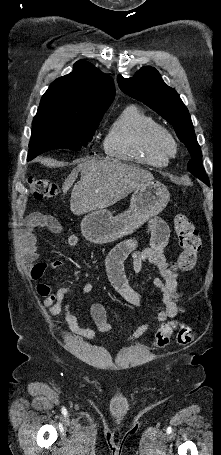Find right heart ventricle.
Masks as SVG:
<instances>
[{
  "label": "right heart ventricle",
  "instance_id": "e07e8e85",
  "mask_svg": "<svg viewBox=\"0 0 221 455\" xmlns=\"http://www.w3.org/2000/svg\"><path fill=\"white\" fill-rule=\"evenodd\" d=\"M156 120L139 106L125 107L107 130L103 139L105 153L116 159L142 165L163 166L167 156L154 142L159 128Z\"/></svg>",
  "mask_w": 221,
  "mask_h": 455
}]
</instances>
